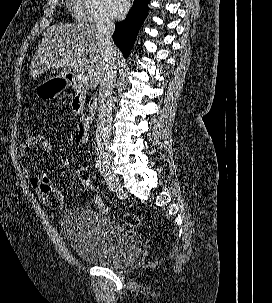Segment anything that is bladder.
Segmentation results:
<instances>
[{"mask_svg": "<svg viewBox=\"0 0 272 303\" xmlns=\"http://www.w3.org/2000/svg\"><path fill=\"white\" fill-rule=\"evenodd\" d=\"M60 227L74 253L83 261L120 267L139 255L134 234L99 211L68 207L62 213Z\"/></svg>", "mask_w": 272, "mask_h": 303, "instance_id": "31cf9c89", "label": "bladder"}]
</instances>
